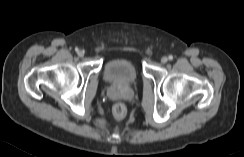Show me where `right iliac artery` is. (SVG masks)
Returning <instances> with one entry per match:
<instances>
[{
    "label": "right iliac artery",
    "mask_w": 244,
    "mask_h": 157,
    "mask_svg": "<svg viewBox=\"0 0 244 157\" xmlns=\"http://www.w3.org/2000/svg\"><path fill=\"white\" fill-rule=\"evenodd\" d=\"M75 51H76V52H79V49H78V48H75Z\"/></svg>",
    "instance_id": "1"
}]
</instances>
